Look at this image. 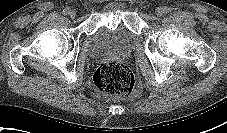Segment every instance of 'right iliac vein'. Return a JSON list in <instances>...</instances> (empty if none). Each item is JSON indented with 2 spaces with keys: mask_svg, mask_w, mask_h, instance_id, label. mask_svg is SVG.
<instances>
[{
  "mask_svg": "<svg viewBox=\"0 0 227 133\" xmlns=\"http://www.w3.org/2000/svg\"><path fill=\"white\" fill-rule=\"evenodd\" d=\"M69 16H70L71 18H74V17L76 16V12H75L74 10H70Z\"/></svg>",
  "mask_w": 227,
  "mask_h": 133,
  "instance_id": "right-iliac-vein-1",
  "label": "right iliac vein"
}]
</instances>
